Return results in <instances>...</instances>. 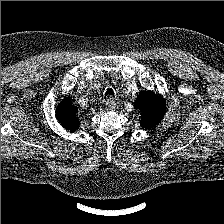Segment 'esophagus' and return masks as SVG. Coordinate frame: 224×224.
Segmentation results:
<instances>
[{
    "label": "esophagus",
    "instance_id": "1",
    "mask_svg": "<svg viewBox=\"0 0 224 224\" xmlns=\"http://www.w3.org/2000/svg\"><path fill=\"white\" fill-rule=\"evenodd\" d=\"M106 105H107L108 110H113L115 108V104H114V101H113L112 97H109L106 100Z\"/></svg>",
    "mask_w": 224,
    "mask_h": 224
}]
</instances>
